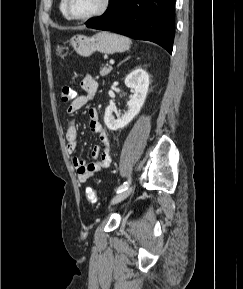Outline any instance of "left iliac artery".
<instances>
[{"label": "left iliac artery", "mask_w": 243, "mask_h": 289, "mask_svg": "<svg viewBox=\"0 0 243 289\" xmlns=\"http://www.w3.org/2000/svg\"><path fill=\"white\" fill-rule=\"evenodd\" d=\"M130 183H131V176H129L128 180L116 189V193H120L126 190L129 187Z\"/></svg>", "instance_id": "1"}]
</instances>
